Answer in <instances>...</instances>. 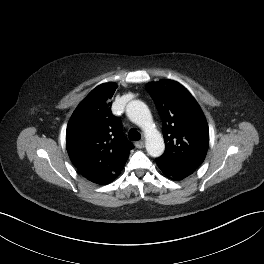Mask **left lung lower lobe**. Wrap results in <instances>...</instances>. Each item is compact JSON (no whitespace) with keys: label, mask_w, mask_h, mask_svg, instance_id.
Here are the masks:
<instances>
[{"label":"left lung lower lobe","mask_w":264,"mask_h":264,"mask_svg":"<svg viewBox=\"0 0 264 264\" xmlns=\"http://www.w3.org/2000/svg\"><path fill=\"white\" fill-rule=\"evenodd\" d=\"M156 162L159 168L162 170V172L169 179L175 181L182 180L194 172V170L191 169L171 166L169 164L159 161L158 159H156Z\"/></svg>","instance_id":"left-lung-lower-lobe-1"}]
</instances>
